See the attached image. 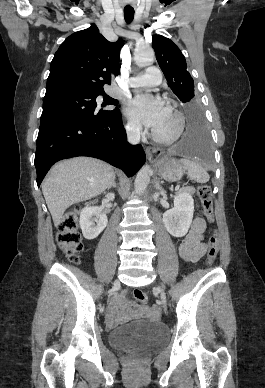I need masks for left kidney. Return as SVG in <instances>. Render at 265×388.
<instances>
[{"instance_id":"obj_1","label":"left kidney","mask_w":265,"mask_h":388,"mask_svg":"<svg viewBox=\"0 0 265 388\" xmlns=\"http://www.w3.org/2000/svg\"><path fill=\"white\" fill-rule=\"evenodd\" d=\"M194 200L187 192H179L174 198V208L163 214L164 226L174 238L186 236L193 220Z\"/></svg>"}]
</instances>
